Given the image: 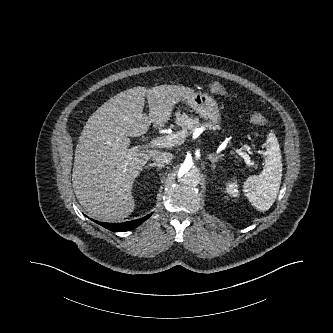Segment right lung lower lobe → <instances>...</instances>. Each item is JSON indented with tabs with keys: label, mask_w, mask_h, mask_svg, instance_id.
Instances as JSON below:
<instances>
[{
	"label": "right lung lower lobe",
	"mask_w": 333,
	"mask_h": 333,
	"mask_svg": "<svg viewBox=\"0 0 333 333\" xmlns=\"http://www.w3.org/2000/svg\"><path fill=\"white\" fill-rule=\"evenodd\" d=\"M150 216H151V214H148L147 216H145L141 219L128 221V222H125V223H106V222H96V221L95 222L100 224L101 226L113 231V232L129 231V230L134 229L138 225H140L142 222L147 220Z\"/></svg>",
	"instance_id": "obj_1"
}]
</instances>
